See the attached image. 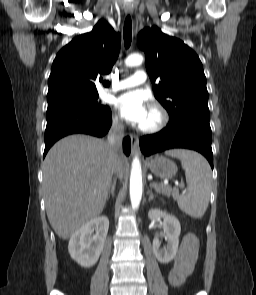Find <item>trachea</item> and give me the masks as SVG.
I'll return each instance as SVG.
<instances>
[{
	"mask_svg": "<svg viewBox=\"0 0 256 295\" xmlns=\"http://www.w3.org/2000/svg\"><path fill=\"white\" fill-rule=\"evenodd\" d=\"M123 36L125 48L128 49L132 40V22L129 15L126 17L124 22Z\"/></svg>",
	"mask_w": 256,
	"mask_h": 295,
	"instance_id": "trachea-1",
	"label": "trachea"
}]
</instances>
